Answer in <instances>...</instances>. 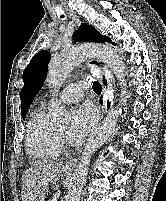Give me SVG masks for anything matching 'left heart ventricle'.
I'll return each instance as SVG.
<instances>
[{
  "mask_svg": "<svg viewBox=\"0 0 166 201\" xmlns=\"http://www.w3.org/2000/svg\"><path fill=\"white\" fill-rule=\"evenodd\" d=\"M58 130L60 132H62V133H65L66 132V126L65 125L64 126H60V127H58Z\"/></svg>",
  "mask_w": 166,
  "mask_h": 201,
  "instance_id": "1",
  "label": "left heart ventricle"
}]
</instances>
